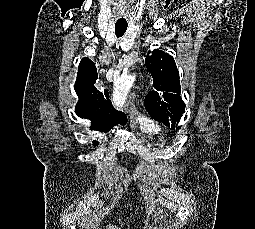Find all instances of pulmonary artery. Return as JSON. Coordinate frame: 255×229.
<instances>
[{
    "instance_id": "1",
    "label": "pulmonary artery",
    "mask_w": 255,
    "mask_h": 229,
    "mask_svg": "<svg viewBox=\"0 0 255 229\" xmlns=\"http://www.w3.org/2000/svg\"><path fill=\"white\" fill-rule=\"evenodd\" d=\"M139 119H140V121H141L144 125H147V126H148V120H147V119H145V118H143V117H140Z\"/></svg>"
}]
</instances>
